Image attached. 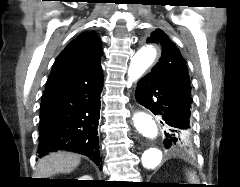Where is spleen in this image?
<instances>
[{"mask_svg":"<svg viewBox=\"0 0 240 187\" xmlns=\"http://www.w3.org/2000/svg\"><path fill=\"white\" fill-rule=\"evenodd\" d=\"M188 178H189V180H190L191 182L197 181L196 176H195V173H190L189 176H188Z\"/></svg>","mask_w":240,"mask_h":187,"instance_id":"1","label":"spleen"}]
</instances>
